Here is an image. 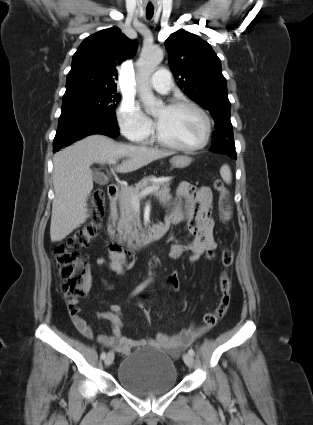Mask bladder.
I'll use <instances>...</instances> for the list:
<instances>
[{
  "label": "bladder",
  "mask_w": 313,
  "mask_h": 425,
  "mask_svg": "<svg viewBox=\"0 0 313 425\" xmlns=\"http://www.w3.org/2000/svg\"><path fill=\"white\" fill-rule=\"evenodd\" d=\"M117 380L123 389L137 397H153L176 386L177 370L168 351L144 347L123 358Z\"/></svg>",
  "instance_id": "bladder-1"
}]
</instances>
